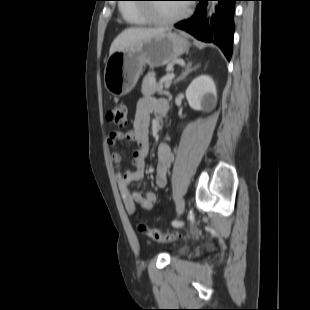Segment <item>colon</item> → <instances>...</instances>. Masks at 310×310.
Masks as SVG:
<instances>
[{
    "label": "colon",
    "mask_w": 310,
    "mask_h": 310,
    "mask_svg": "<svg viewBox=\"0 0 310 310\" xmlns=\"http://www.w3.org/2000/svg\"><path fill=\"white\" fill-rule=\"evenodd\" d=\"M106 117L108 122L119 129H124L127 126V106L124 103L117 104L107 111ZM138 231L146 238L155 242H169L181 236L178 232H161L152 229L144 223L138 224Z\"/></svg>",
    "instance_id": "colon-1"
}]
</instances>
